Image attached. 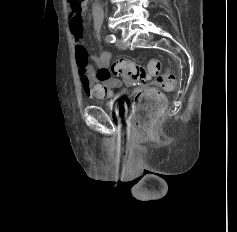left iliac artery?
Returning a JSON list of instances; mask_svg holds the SVG:
<instances>
[{
    "instance_id": "left-iliac-artery-1",
    "label": "left iliac artery",
    "mask_w": 237,
    "mask_h": 232,
    "mask_svg": "<svg viewBox=\"0 0 237 232\" xmlns=\"http://www.w3.org/2000/svg\"><path fill=\"white\" fill-rule=\"evenodd\" d=\"M116 40V37L113 34H109L105 37V41L107 43H114Z\"/></svg>"
}]
</instances>
